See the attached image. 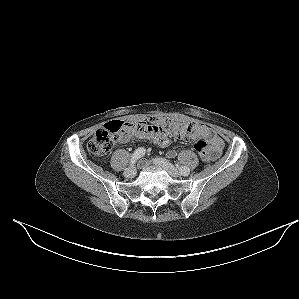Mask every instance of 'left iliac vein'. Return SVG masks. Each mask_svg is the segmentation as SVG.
Here are the masks:
<instances>
[{"label":"left iliac vein","mask_w":299,"mask_h":299,"mask_svg":"<svg viewBox=\"0 0 299 299\" xmlns=\"http://www.w3.org/2000/svg\"><path fill=\"white\" fill-rule=\"evenodd\" d=\"M153 163L156 166L161 167L162 169L167 171L169 173V175L172 177H178L180 175L178 170L171 163H169L168 161H166L162 158H154Z\"/></svg>","instance_id":"4c4485c4"}]
</instances>
